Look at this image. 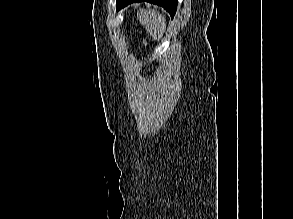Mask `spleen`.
Masks as SVG:
<instances>
[{
    "instance_id": "3e777b00",
    "label": "spleen",
    "mask_w": 293,
    "mask_h": 219,
    "mask_svg": "<svg viewBox=\"0 0 293 219\" xmlns=\"http://www.w3.org/2000/svg\"><path fill=\"white\" fill-rule=\"evenodd\" d=\"M138 19L154 40H159L166 30L165 17L151 9H140Z\"/></svg>"
}]
</instances>
